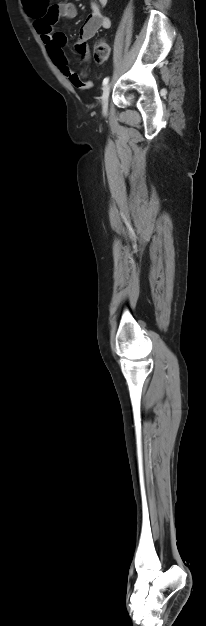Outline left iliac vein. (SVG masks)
<instances>
[{
  "label": "left iliac vein",
  "mask_w": 206,
  "mask_h": 626,
  "mask_svg": "<svg viewBox=\"0 0 206 626\" xmlns=\"http://www.w3.org/2000/svg\"><path fill=\"white\" fill-rule=\"evenodd\" d=\"M109 93H110V84H107L104 87L103 93H102V111L104 114H106L108 110Z\"/></svg>",
  "instance_id": "1"
}]
</instances>
